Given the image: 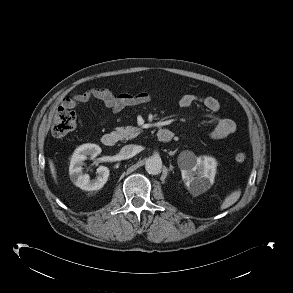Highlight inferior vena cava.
Wrapping results in <instances>:
<instances>
[{"label":"inferior vena cava","instance_id":"1","mask_svg":"<svg viewBox=\"0 0 293 293\" xmlns=\"http://www.w3.org/2000/svg\"><path fill=\"white\" fill-rule=\"evenodd\" d=\"M138 152H139V149L137 146L126 145V146L122 147V149L120 150V155L124 159H128V158L135 156Z\"/></svg>","mask_w":293,"mask_h":293}]
</instances>
